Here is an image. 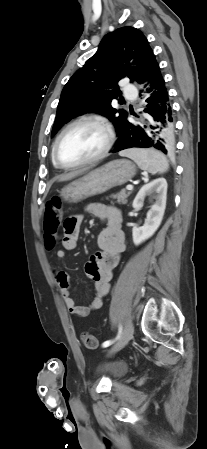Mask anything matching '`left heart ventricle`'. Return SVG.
Instances as JSON below:
<instances>
[{
    "label": "left heart ventricle",
    "instance_id": "b2bd125f",
    "mask_svg": "<svg viewBox=\"0 0 207 449\" xmlns=\"http://www.w3.org/2000/svg\"><path fill=\"white\" fill-rule=\"evenodd\" d=\"M105 145V134L96 126L81 124L72 127L59 143L62 162L74 164L96 156Z\"/></svg>",
    "mask_w": 207,
    "mask_h": 449
}]
</instances>
